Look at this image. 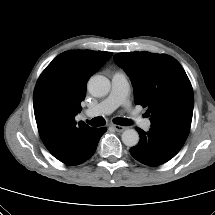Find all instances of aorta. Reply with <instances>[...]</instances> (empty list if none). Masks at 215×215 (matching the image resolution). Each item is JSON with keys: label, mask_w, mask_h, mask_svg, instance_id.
Masks as SVG:
<instances>
[{"label": "aorta", "mask_w": 215, "mask_h": 215, "mask_svg": "<svg viewBox=\"0 0 215 215\" xmlns=\"http://www.w3.org/2000/svg\"><path fill=\"white\" fill-rule=\"evenodd\" d=\"M110 81L102 75H94L88 81V91L94 97H103L110 91ZM122 142L128 146H136L139 142V134L135 129H126L122 133Z\"/></svg>", "instance_id": "aorta-1"}]
</instances>
